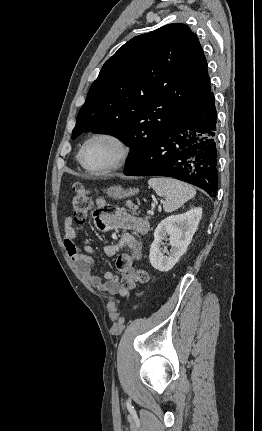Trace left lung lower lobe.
Masks as SVG:
<instances>
[{
    "label": "left lung lower lobe",
    "instance_id": "0a47b994",
    "mask_svg": "<svg viewBox=\"0 0 262 431\" xmlns=\"http://www.w3.org/2000/svg\"><path fill=\"white\" fill-rule=\"evenodd\" d=\"M216 116L214 94L210 91L124 174L172 177L215 196L218 187Z\"/></svg>",
    "mask_w": 262,
    "mask_h": 431
}]
</instances>
